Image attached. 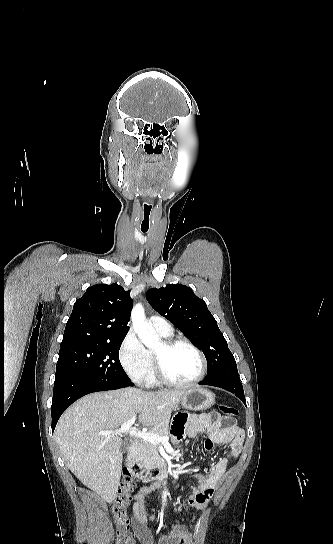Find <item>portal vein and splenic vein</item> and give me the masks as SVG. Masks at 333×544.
Listing matches in <instances>:
<instances>
[{
    "mask_svg": "<svg viewBox=\"0 0 333 544\" xmlns=\"http://www.w3.org/2000/svg\"><path fill=\"white\" fill-rule=\"evenodd\" d=\"M136 416L129 419L127 422L121 425L119 429L113 430V431H102L101 434L104 436H111V435H119L123 433H128L130 436L141 438L143 440H147L153 444L157 443H163L167 442L169 440L168 436H160L158 434L150 433V432H142L137 429H131V426L135 423Z\"/></svg>",
    "mask_w": 333,
    "mask_h": 544,
    "instance_id": "obj_1",
    "label": "portal vein and splenic vein"
}]
</instances>
